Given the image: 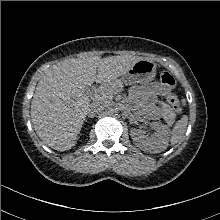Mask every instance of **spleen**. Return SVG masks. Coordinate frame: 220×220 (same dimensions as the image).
I'll list each match as a JSON object with an SVG mask.
<instances>
[{"instance_id": "obj_1", "label": "spleen", "mask_w": 220, "mask_h": 220, "mask_svg": "<svg viewBox=\"0 0 220 220\" xmlns=\"http://www.w3.org/2000/svg\"><path fill=\"white\" fill-rule=\"evenodd\" d=\"M188 117L183 116L174 126L171 132L170 143L172 145L177 144L183 137L185 130L187 128Z\"/></svg>"}]
</instances>
